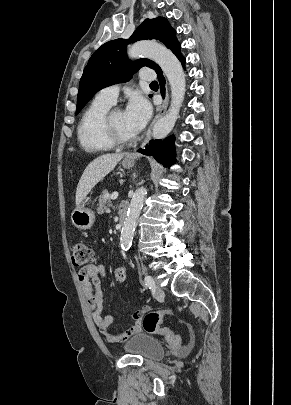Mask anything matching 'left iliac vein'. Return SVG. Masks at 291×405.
Listing matches in <instances>:
<instances>
[{
  "mask_svg": "<svg viewBox=\"0 0 291 405\" xmlns=\"http://www.w3.org/2000/svg\"><path fill=\"white\" fill-rule=\"evenodd\" d=\"M154 290V294L157 298H161L164 296V292L162 290V288L160 287V285L156 284L153 288Z\"/></svg>",
  "mask_w": 291,
  "mask_h": 405,
  "instance_id": "left-iliac-vein-1",
  "label": "left iliac vein"
}]
</instances>
